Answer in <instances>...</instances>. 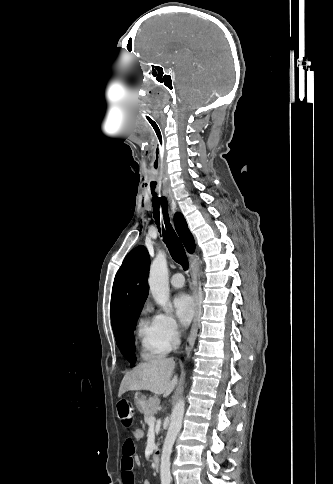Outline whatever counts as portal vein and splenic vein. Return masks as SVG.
Returning a JSON list of instances; mask_svg holds the SVG:
<instances>
[{"mask_svg": "<svg viewBox=\"0 0 333 484\" xmlns=\"http://www.w3.org/2000/svg\"><path fill=\"white\" fill-rule=\"evenodd\" d=\"M155 421H156L155 417H151V418H149V420H148V425H149V426H154V425H155Z\"/></svg>", "mask_w": 333, "mask_h": 484, "instance_id": "portal-vein-and-splenic-vein-1", "label": "portal vein and splenic vein"}]
</instances>
